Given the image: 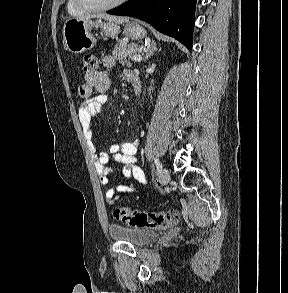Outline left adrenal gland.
I'll return each instance as SVG.
<instances>
[{
  "label": "left adrenal gland",
  "instance_id": "1",
  "mask_svg": "<svg viewBox=\"0 0 288 293\" xmlns=\"http://www.w3.org/2000/svg\"><path fill=\"white\" fill-rule=\"evenodd\" d=\"M157 49H158V48H157L155 42L152 41V43H150V44L146 47V51H145V52H146L145 59L150 58V57L153 55V53H154Z\"/></svg>",
  "mask_w": 288,
  "mask_h": 293
}]
</instances>
